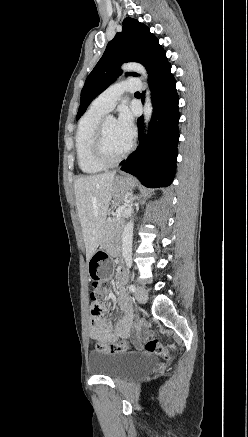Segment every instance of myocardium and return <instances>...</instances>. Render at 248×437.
I'll return each instance as SVG.
<instances>
[{"instance_id":"myocardium-1","label":"myocardium","mask_w":248,"mask_h":437,"mask_svg":"<svg viewBox=\"0 0 248 437\" xmlns=\"http://www.w3.org/2000/svg\"><path fill=\"white\" fill-rule=\"evenodd\" d=\"M107 119H102L97 126L92 152L95 160L104 167H112L122 161L133 149V143L130 142L127 148L118 156L111 158L105 150V123Z\"/></svg>"}]
</instances>
